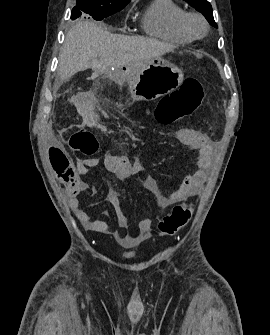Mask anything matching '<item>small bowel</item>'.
Wrapping results in <instances>:
<instances>
[{"label": "small bowel", "instance_id": "1", "mask_svg": "<svg viewBox=\"0 0 270 335\" xmlns=\"http://www.w3.org/2000/svg\"><path fill=\"white\" fill-rule=\"evenodd\" d=\"M190 145L199 152L198 169L185 176L180 187L173 193L163 195L160 186L152 177H147L144 185L147 190L154 194L162 207H169L176 203L185 201L196 194L208 177L212 154L215 148L214 142L206 135L195 132L191 135ZM48 154H45V161L53 166V173L57 178H63L67 186L69 204L73 213L81 224L89 231L116 235L117 231H111L109 225L100 219H92L87 211L80 207L79 195L88 185L82 180L81 176L87 173L88 169L98 164L97 158L79 160L73 158V154H65L64 149H60L59 144H48ZM104 162L107 169L119 179H126L144 171L141 162H132L121 154H106ZM121 194L110 189L107 193V201L113 208L116 216L117 226L121 230L129 227L127 216L121 205ZM153 224L151 218H144L138 224L141 233L148 232Z\"/></svg>", "mask_w": 270, "mask_h": 335}]
</instances>
